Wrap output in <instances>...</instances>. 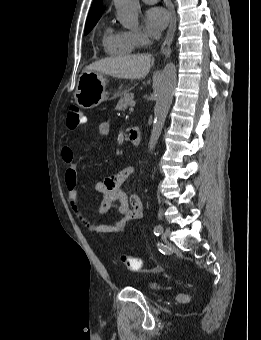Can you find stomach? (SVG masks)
<instances>
[{
    "label": "stomach",
    "mask_w": 261,
    "mask_h": 340,
    "mask_svg": "<svg viewBox=\"0 0 261 340\" xmlns=\"http://www.w3.org/2000/svg\"><path fill=\"white\" fill-rule=\"evenodd\" d=\"M107 81L102 73L83 71L79 76L74 99L76 104L83 109H91L109 99L106 90ZM116 94L113 95V98Z\"/></svg>",
    "instance_id": "0dacf381"
}]
</instances>
